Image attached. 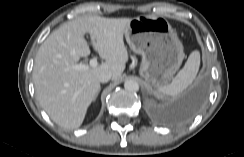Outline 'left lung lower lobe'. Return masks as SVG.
Here are the masks:
<instances>
[{
    "label": "left lung lower lobe",
    "instance_id": "1",
    "mask_svg": "<svg viewBox=\"0 0 244 157\" xmlns=\"http://www.w3.org/2000/svg\"><path fill=\"white\" fill-rule=\"evenodd\" d=\"M204 96L205 87L202 84L186 93L177 105L176 119L186 120L191 118L202 105Z\"/></svg>",
    "mask_w": 244,
    "mask_h": 157
}]
</instances>
